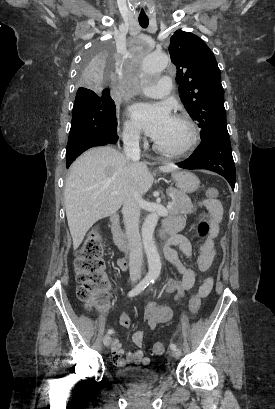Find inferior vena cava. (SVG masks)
I'll return each instance as SVG.
<instances>
[{
  "label": "inferior vena cava",
  "mask_w": 275,
  "mask_h": 409,
  "mask_svg": "<svg viewBox=\"0 0 275 409\" xmlns=\"http://www.w3.org/2000/svg\"><path fill=\"white\" fill-rule=\"evenodd\" d=\"M124 150L127 160L140 158L139 132L137 130H126L123 132ZM142 198L136 190V186H131L128 196L124 200L122 209L128 245L130 279L138 281L141 277L143 263V249L139 233L140 202Z\"/></svg>",
  "instance_id": "obj_1"
}]
</instances>
